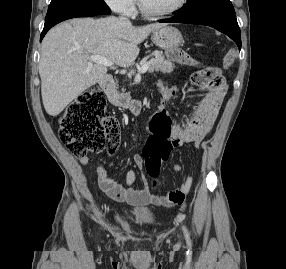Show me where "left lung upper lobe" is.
I'll return each mask as SVG.
<instances>
[{
	"label": "left lung upper lobe",
	"mask_w": 286,
	"mask_h": 269,
	"mask_svg": "<svg viewBox=\"0 0 286 269\" xmlns=\"http://www.w3.org/2000/svg\"><path fill=\"white\" fill-rule=\"evenodd\" d=\"M187 5L176 11L181 16L208 13L235 14L230 0H187Z\"/></svg>",
	"instance_id": "1"
}]
</instances>
